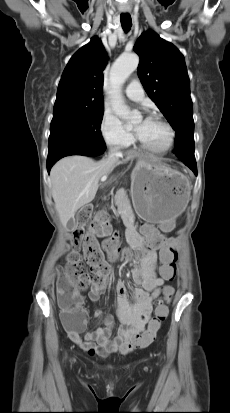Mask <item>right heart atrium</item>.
I'll return each instance as SVG.
<instances>
[{
  "label": "right heart atrium",
  "mask_w": 230,
  "mask_h": 413,
  "mask_svg": "<svg viewBox=\"0 0 230 413\" xmlns=\"http://www.w3.org/2000/svg\"><path fill=\"white\" fill-rule=\"evenodd\" d=\"M100 134L103 141L111 147L122 149L131 144L132 135L124 128L120 120L105 111L100 121Z\"/></svg>",
  "instance_id": "1"
}]
</instances>
